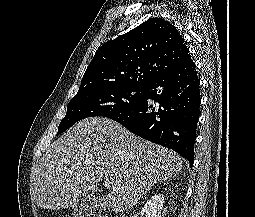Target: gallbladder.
Returning a JSON list of instances; mask_svg holds the SVG:
<instances>
[{"label": "gallbladder", "instance_id": "1", "mask_svg": "<svg viewBox=\"0 0 255 217\" xmlns=\"http://www.w3.org/2000/svg\"><path fill=\"white\" fill-rule=\"evenodd\" d=\"M100 202V197H91L86 199L85 201H82L74 207V217H87L90 215H94L97 204H99Z\"/></svg>", "mask_w": 255, "mask_h": 217}]
</instances>
